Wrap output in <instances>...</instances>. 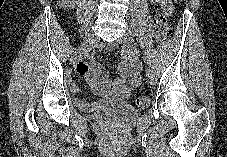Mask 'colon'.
<instances>
[{
  "mask_svg": "<svg viewBox=\"0 0 227 157\" xmlns=\"http://www.w3.org/2000/svg\"><path fill=\"white\" fill-rule=\"evenodd\" d=\"M154 32L158 39L165 40L169 35V28L165 16L158 12L154 17ZM136 104L138 107L144 109L150 104V99L148 96H140L136 99Z\"/></svg>",
  "mask_w": 227,
  "mask_h": 157,
  "instance_id": "1",
  "label": "colon"
}]
</instances>
